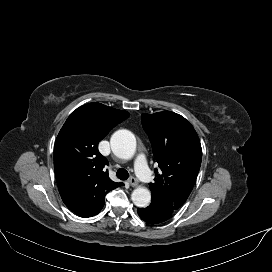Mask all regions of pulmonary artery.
I'll return each mask as SVG.
<instances>
[{
    "instance_id": "obj_1",
    "label": "pulmonary artery",
    "mask_w": 272,
    "mask_h": 272,
    "mask_svg": "<svg viewBox=\"0 0 272 272\" xmlns=\"http://www.w3.org/2000/svg\"><path fill=\"white\" fill-rule=\"evenodd\" d=\"M135 166L139 178L144 182H149L151 180V175L147 167L146 158L143 154L137 156Z\"/></svg>"
}]
</instances>
